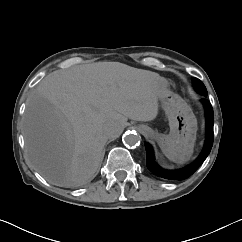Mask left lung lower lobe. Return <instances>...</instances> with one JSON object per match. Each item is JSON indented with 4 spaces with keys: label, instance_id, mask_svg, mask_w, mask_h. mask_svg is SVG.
<instances>
[{
    "label": "left lung lower lobe",
    "instance_id": "obj_1",
    "mask_svg": "<svg viewBox=\"0 0 242 242\" xmlns=\"http://www.w3.org/2000/svg\"><path fill=\"white\" fill-rule=\"evenodd\" d=\"M201 101L205 107L206 114V139L202 152L200 153L198 158L190 165L178 170H166L161 168L158 164H156L151 145L145 144L146 164L148 169L154 175L169 180H184L191 176L200 167V165L204 162V160L210 153L213 145V108L207 99L203 98L201 99Z\"/></svg>",
    "mask_w": 242,
    "mask_h": 242
}]
</instances>
